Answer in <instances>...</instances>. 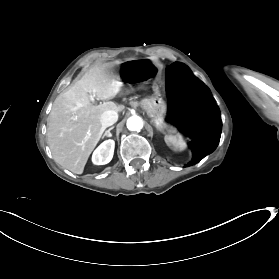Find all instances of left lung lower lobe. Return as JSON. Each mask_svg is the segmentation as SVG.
<instances>
[{"label":"left lung lower lobe","mask_w":279,"mask_h":279,"mask_svg":"<svg viewBox=\"0 0 279 279\" xmlns=\"http://www.w3.org/2000/svg\"><path fill=\"white\" fill-rule=\"evenodd\" d=\"M166 93L172 111L191 131L193 158L187 166L201 161L218 146L221 115L209 89L183 63L166 68Z\"/></svg>","instance_id":"0a47b994"}]
</instances>
